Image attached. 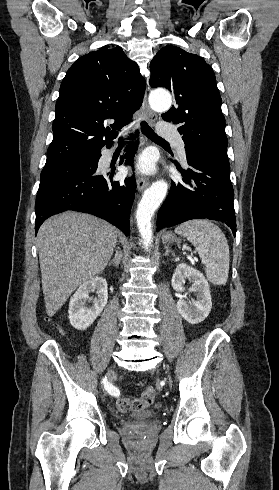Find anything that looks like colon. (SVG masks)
Here are the masks:
<instances>
[{
    "instance_id": "1",
    "label": "colon",
    "mask_w": 279,
    "mask_h": 490,
    "mask_svg": "<svg viewBox=\"0 0 279 490\" xmlns=\"http://www.w3.org/2000/svg\"><path fill=\"white\" fill-rule=\"evenodd\" d=\"M155 399V390L146 389L141 397L129 398L124 397L117 402V410L121 413H127L131 411H141L152 405Z\"/></svg>"
}]
</instances>
